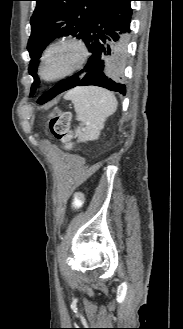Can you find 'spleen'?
I'll use <instances>...</instances> for the list:
<instances>
[{"instance_id": "obj_1", "label": "spleen", "mask_w": 183, "mask_h": 329, "mask_svg": "<svg viewBox=\"0 0 183 329\" xmlns=\"http://www.w3.org/2000/svg\"><path fill=\"white\" fill-rule=\"evenodd\" d=\"M64 98L70 100L81 126L75 130L79 142L97 140L107 118L117 109V100L110 91L95 87H76L69 90ZM72 145L67 146L70 149Z\"/></svg>"}]
</instances>
